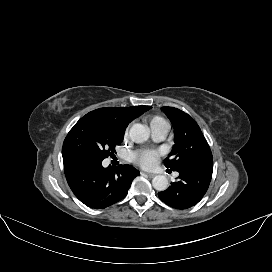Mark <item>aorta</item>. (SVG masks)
Returning a JSON list of instances; mask_svg holds the SVG:
<instances>
[{
	"instance_id": "obj_1",
	"label": "aorta",
	"mask_w": 272,
	"mask_h": 272,
	"mask_svg": "<svg viewBox=\"0 0 272 272\" xmlns=\"http://www.w3.org/2000/svg\"><path fill=\"white\" fill-rule=\"evenodd\" d=\"M150 131L142 124H134L130 131V139L135 143H143L148 140ZM152 185L157 191H164L168 187V179L163 175H157L152 180Z\"/></svg>"
}]
</instances>
